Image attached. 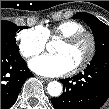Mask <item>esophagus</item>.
<instances>
[{"instance_id":"obj_1","label":"esophagus","mask_w":109,"mask_h":109,"mask_svg":"<svg viewBox=\"0 0 109 109\" xmlns=\"http://www.w3.org/2000/svg\"><path fill=\"white\" fill-rule=\"evenodd\" d=\"M42 82H49L51 79L45 78V77H40Z\"/></svg>"}]
</instances>
